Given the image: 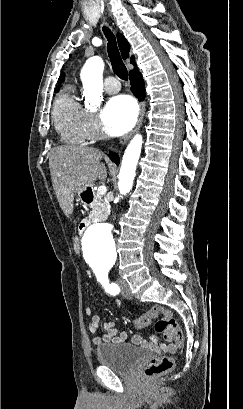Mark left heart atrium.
Segmentation results:
<instances>
[{
	"label": "left heart atrium",
	"instance_id": "left-heart-atrium-1",
	"mask_svg": "<svg viewBox=\"0 0 243 409\" xmlns=\"http://www.w3.org/2000/svg\"><path fill=\"white\" fill-rule=\"evenodd\" d=\"M104 131L111 136L128 132L137 118V105L127 95H118L108 100L100 114Z\"/></svg>",
	"mask_w": 243,
	"mask_h": 409
}]
</instances>
